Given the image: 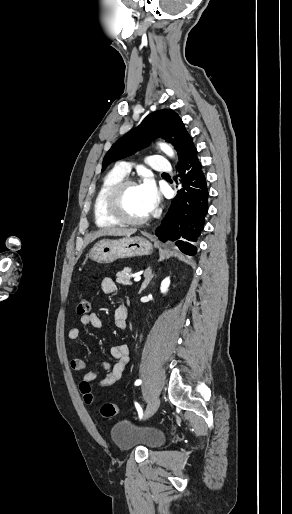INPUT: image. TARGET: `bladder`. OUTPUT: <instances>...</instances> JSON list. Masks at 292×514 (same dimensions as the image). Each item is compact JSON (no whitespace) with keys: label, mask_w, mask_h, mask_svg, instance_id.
I'll use <instances>...</instances> for the list:
<instances>
[{"label":"bladder","mask_w":292,"mask_h":514,"mask_svg":"<svg viewBox=\"0 0 292 514\" xmlns=\"http://www.w3.org/2000/svg\"><path fill=\"white\" fill-rule=\"evenodd\" d=\"M110 438L121 449L129 450L137 446L156 449L162 445L164 435L157 430L143 428L128 420H121L110 430Z\"/></svg>","instance_id":"31cf9c89"}]
</instances>
